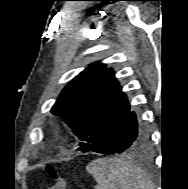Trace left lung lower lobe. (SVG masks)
<instances>
[{
    "instance_id": "left-lung-lower-lobe-1",
    "label": "left lung lower lobe",
    "mask_w": 188,
    "mask_h": 189,
    "mask_svg": "<svg viewBox=\"0 0 188 189\" xmlns=\"http://www.w3.org/2000/svg\"><path fill=\"white\" fill-rule=\"evenodd\" d=\"M147 141V132L138 125L136 114L129 111L102 140L91 148V151L104 154L122 153L133 150Z\"/></svg>"
}]
</instances>
